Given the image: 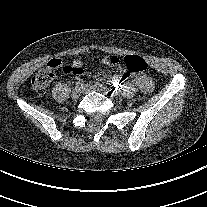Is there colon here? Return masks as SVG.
Wrapping results in <instances>:
<instances>
[{
	"mask_svg": "<svg viewBox=\"0 0 207 207\" xmlns=\"http://www.w3.org/2000/svg\"><path fill=\"white\" fill-rule=\"evenodd\" d=\"M62 62L56 59L53 62H50L48 67L39 71L36 75L33 76L31 80L32 88L34 92L42 96L46 93L49 85L55 77V69L61 66ZM124 64L126 68L132 73H142L147 70V62L138 55H127L124 58ZM72 70V67L64 66V71L68 72Z\"/></svg>",
	"mask_w": 207,
	"mask_h": 207,
	"instance_id": "1",
	"label": "colon"
}]
</instances>
